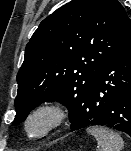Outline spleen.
<instances>
[{"label": "spleen", "instance_id": "3e777b00", "mask_svg": "<svg viewBox=\"0 0 131 151\" xmlns=\"http://www.w3.org/2000/svg\"><path fill=\"white\" fill-rule=\"evenodd\" d=\"M87 132L97 141L99 151H122L124 142L121 136L103 127H90Z\"/></svg>", "mask_w": 131, "mask_h": 151}]
</instances>
